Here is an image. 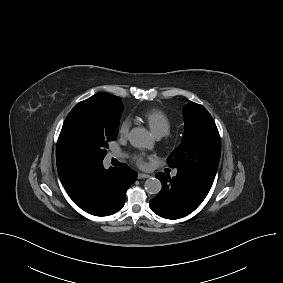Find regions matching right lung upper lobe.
<instances>
[{"label":"right lung upper lobe","mask_w":283,"mask_h":283,"mask_svg":"<svg viewBox=\"0 0 283 283\" xmlns=\"http://www.w3.org/2000/svg\"><path fill=\"white\" fill-rule=\"evenodd\" d=\"M67 169H61V170H58V173L59 174H62L63 172H65Z\"/></svg>","instance_id":"1"}]
</instances>
